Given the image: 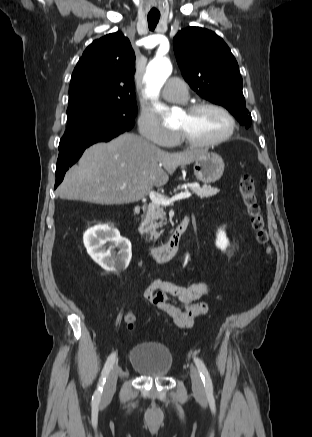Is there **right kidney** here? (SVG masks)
<instances>
[{"mask_svg":"<svg viewBox=\"0 0 312 437\" xmlns=\"http://www.w3.org/2000/svg\"><path fill=\"white\" fill-rule=\"evenodd\" d=\"M83 241L87 253L104 270L122 271L129 265L132 257L131 243L127 238L121 237L115 227L94 226L84 233ZM107 243L110 244L108 249L105 247ZM114 247L119 249L117 253L113 251Z\"/></svg>","mask_w":312,"mask_h":437,"instance_id":"1","label":"right kidney"}]
</instances>
